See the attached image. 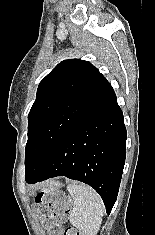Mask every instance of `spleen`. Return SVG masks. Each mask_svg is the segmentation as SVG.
Masks as SVG:
<instances>
[{
	"instance_id": "obj_1",
	"label": "spleen",
	"mask_w": 155,
	"mask_h": 235,
	"mask_svg": "<svg viewBox=\"0 0 155 235\" xmlns=\"http://www.w3.org/2000/svg\"><path fill=\"white\" fill-rule=\"evenodd\" d=\"M67 190L74 201L70 223L77 228L80 235H97L105 212L101 197L83 184H69Z\"/></svg>"
}]
</instances>
